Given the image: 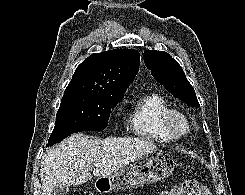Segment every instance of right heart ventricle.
<instances>
[{
	"label": "right heart ventricle",
	"mask_w": 245,
	"mask_h": 195,
	"mask_svg": "<svg viewBox=\"0 0 245 195\" xmlns=\"http://www.w3.org/2000/svg\"><path fill=\"white\" fill-rule=\"evenodd\" d=\"M169 109L168 102L159 94L139 95L127 110V132L157 142L172 141L161 125V118Z\"/></svg>",
	"instance_id": "1"
}]
</instances>
